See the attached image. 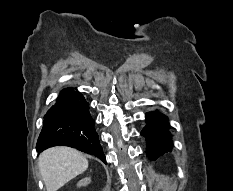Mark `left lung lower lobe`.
<instances>
[{"mask_svg": "<svg viewBox=\"0 0 233 191\" xmlns=\"http://www.w3.org/2000/svg\"><path fill=\"white\" fill-rule=\"evenodd\" d=\"M148 125L142 130L141 135L146 136L147 156L156 160L167 152L172 151V142L168 132L166 117L158 112L147 113Z\"/></svg>", "mask_w": 233, "mask_h": 191, "instance_id": "1", "label": "left lung lower lobe"}]
</instances>
